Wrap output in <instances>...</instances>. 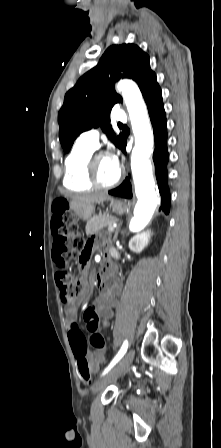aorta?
<instances>
[{
	"instance_id": "762f6f07",
	"label": "aorta",
	"mask_w": 221,
	"mask_h": 448,
	"mask_svg": "<svg viewBox=\"0 0 221 448\" xmlns=\"http://www.w3.org/2000/svg\"><path fill=\"white\" fill-rule=\"evenodd\" d=\"M117 89L122 91L135 138L131 154V170L138 201L129 228L131 231H139L148 224L158 204L149 160L154 145L153 132L138 86L133 81L122 80L118 83Z\"/></svg>"
}]
</instances>
